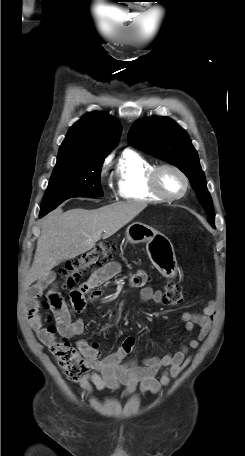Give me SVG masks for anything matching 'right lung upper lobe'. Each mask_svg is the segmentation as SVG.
Wrapping results in <instances>:
<instances>
[{
  "label": "right lung upper lobe",
  "instance_id": "cb5924a9",
  "mask_svg": "<svg viewBox=\"0 0 245 456\" xmlns=\"http://www.w3.org/2000/svg\"><path fill=\"white\" fill-rule=\"evenodd\" d=\"M120 132L118 119L106 113L90 112L69 129L56 164L69 160L104 159L116 145Z\"/></svg>",
  "mask_w": 245,
  "mask_h": 456
}]
</instances>
